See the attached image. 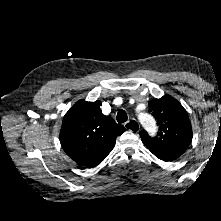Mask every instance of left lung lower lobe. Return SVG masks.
<instances>
[{
    "label": "left lung lower lobe",
    "instance_id": "obj_1",
    "mask_svg": "<svg viewBox=\"0 0 221 221\" xmlns=\"http://www.w3.org/2000/svg\"><path fill=\"white\" fill-rule=\"evenodd\" d=\"M187 148H180L171 152H159V151H151L157 158L163 161H170L180 157Z\"/></svg>",
    "mask_w": 221,
    "mask_h": 221
}]
</instances>
